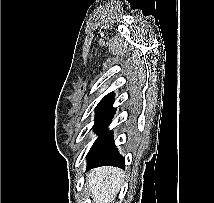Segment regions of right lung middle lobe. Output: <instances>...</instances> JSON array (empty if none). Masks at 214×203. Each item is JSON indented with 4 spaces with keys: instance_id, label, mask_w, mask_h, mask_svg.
Masks as SVG:
<instances>
[{
    "instance_id": "right-lung-middle-lobe-1",
    "label": "right lung middle lobe",
    "mask_w": 214,
    "mask_h": 203,
    "mask_svg": "<svg viewBox=\"0 0 214 203\" xmlns=\"http://www.w3.org/2000/svg\"><path fill=\"white\" fill-rule=\"evenodd\" d=\"M113 99H102L96 107L95 123L102 117V115L112 106ZM95 125V124H94Z\"/></svg>"
}]
</instances>
